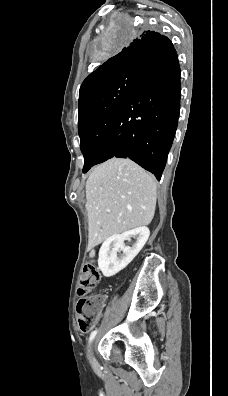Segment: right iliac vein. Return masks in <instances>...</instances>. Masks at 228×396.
Listing matches in <instances>:
<instances>
[{"instance_id": "63e3f726", "label": "right iliac vein", "mask_w": 228, "mask_h": 396, "mask_svg": "<svg viewBox=\"0 0 228 396\" xmlns=\"http://www.w3.org/2000/svg\"><path fill=\"white\" fill-rule=\"evenodd\" d=\"M90 355H91V362L95 363V359H94V356H93V344L91 345Z\"/></svg>"}]
</instances>
